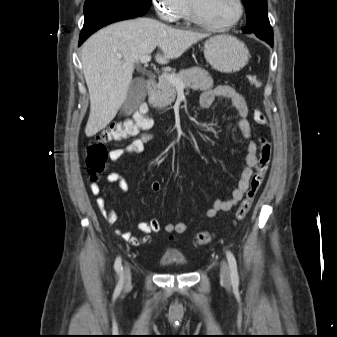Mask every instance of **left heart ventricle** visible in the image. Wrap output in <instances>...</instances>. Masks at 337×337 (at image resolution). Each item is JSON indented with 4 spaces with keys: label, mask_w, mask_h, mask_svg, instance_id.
Instances as JSON below:
<instances>
[{
    "label": "left heart ventricle",
    "mask_w": 337,
    "mask_h": 337,
    "mask_svg": "<svg viewBox=\"0 0 337 337\" xmlns=\"http://www.w3.org/2000/svg\"><path fill=\"white\" fill-rule=\"evenodd\" d=\"M200 15L206 20L224 24L231 21L237 13L235 0H193Z\"/></svg>",
    "instance_id": "obj_1"
}]
</instances>
